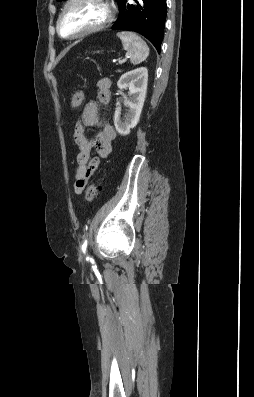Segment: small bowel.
<instances>
[{
  "instance_id": "c3829d8e",
  "label": "small bowel",
  "mask_w": 254,
  "mask_h": 397,
  "mask_svg": "<svg viewBox=\"0 0 254 397\" xmlns=\"http://www.w3.org/2000/svg\"><path fill=\"white\" fill-rule=\"evenodd\" d=\"M96 87L98 101L92 100L85 105L74 129L73 137L78 149L74 184V191L77 194L83 192L101 159L109 157L112 151L111 143L116 136L113 126L108 122H101L99 118V104L108 105L111 101V81L102 78L97 82ZM88 127L97 129L95 138L87 137ZM93 151H96V157H91Z\"/></svg>"
}]
</instances>
